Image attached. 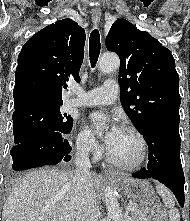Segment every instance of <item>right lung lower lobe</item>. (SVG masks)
I'll list each match as a JSON object with an SVG mask.
<instances>
[{"instance_id":"1","label":"right lung lower lobe","mask_w":190,"mask_h":221,"mask_svg":"<svg viewBox=\"0 0 190 221\" xmlns=\"http://www.w3.org/2000/svg\"><path fill=\"white\" fill-rule=\"evenodd\" d=\"M70 131H42L15 145L10 151L12 168L19 171L69 161L71 147L63 135Z\"/></svg>"}]
</instances>
